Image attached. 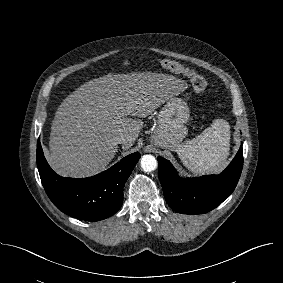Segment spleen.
<instances>
[{
	"label": "spleen",
	"mask_w": 283,
	"mask_h": 283,
	"mask_svg": "<svg viewBox=\"0 0 283 283\" xmlns=\"http://www.w3.org/2000/svg\"><path fill=\"white\" fill-rule=\"evenodd\" d=\"M229 147L230 125L224 119H216L196 138L178 145L176 151L189 171L208 174L224 168Z\"/></svg>",
	"instance_id": "3e777b00"
}]
</instances>
